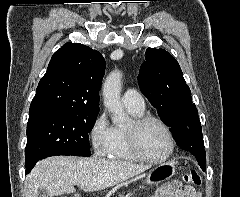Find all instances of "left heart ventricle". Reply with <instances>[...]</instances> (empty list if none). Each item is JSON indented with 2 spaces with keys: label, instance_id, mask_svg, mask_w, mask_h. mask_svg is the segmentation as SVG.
I'll return each instance as SVG.
<instances>
[{
  "label": "left heart ventricle",
  "instance_id": "b2bd125f",
  "mask_svg": "<svg viewBox=\"0 0 240 197\" xmlns=\"http://www.w3.org/2000/svg\"><path fill=\"white\" fill-rule=\"evenodd\" d=\"M140 144L151 158H161L169 151V139L164 128L156 122L145 125L140 132Z\"/></svg>",
  "mask_w": 240,
  "mask_h": 197
}]
</instances>
